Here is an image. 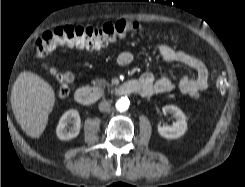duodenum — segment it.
Here are the masks:
<instances>
[{
    "mask_svg": "<svg viewBox=\"0 0 245 187\" xmlns=\"http://www.w3.org/2000/svg\"><path fill=\"white\" fill-rule=\"evenodd\" d=\"M118 95H143V86L136 80H127L116 88ZM75 100L79 104L89 105L98 101L101 97L99 89L91 86H82L75 91Z\"/></svg>",
    "mask_w": 245,
    "mask_h": 187,
    "instance_id": "duodenum-1",
    "label": "duodenum"
}]
</instances>
